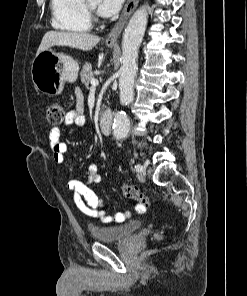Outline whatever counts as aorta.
<instances>
[{
	"instance_id": "1",
	"label": "aorta",
	"mask_w": 247,
	"mask_h": 296,
	"mask_svg": "<svg viewBox=\"0 0 247 296\" xmlns=\"http://www.w3.org/2000/svg\"><path fill=\"white\" fill-rule=\"evenodd\" d=\"M147 8L140 7L134 12L125 29L122 39V67L120 69V103L128 105L134 99V82L138 70L137 58L139 46L147 26ZM130 129V121L124 111L114 116L113 133L116 139L125 137Z\"/></svg>"
}]
</instances>
